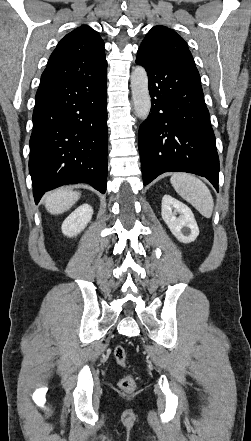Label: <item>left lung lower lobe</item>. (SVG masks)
<instances>
[{
    "mask_svg": "<svg viewBox=\"0 0 251 441\" xmlns=\"http://www.w3.org/2000/svg\"><path fill=\"white\" fill-rule=\"evenodd\" d=\"M146 68L151 113L139 128L144 185L164 172L206 177L218 191L219 158L199 72L137 53Z\"/></svg>",
    "mask_w": 251,
    "mask_h": 441,
    "instance_id": "obj_1",
    "label": "left lung lower lobe"
}]
</instances>
